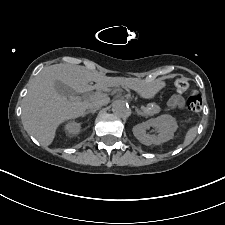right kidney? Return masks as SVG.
Wrapping results in <instances>:
<instances>
[{
	"label": "right kidney",
	"instance_id": "1",
	"mask_svg": "<svg viewBox=\"0 0 225 225\" xmlns=\"http://www.w3.org/2000/svg\"><path fill=\"white\" fill-rule=\"evenodd\" d=\"M65 131L68 134H78L81 131V125L80 123L71 121L65 125Z\"/></svg>",
	"mask_w": 225,
	"mask_h": 225
}]
</instances>
